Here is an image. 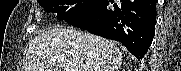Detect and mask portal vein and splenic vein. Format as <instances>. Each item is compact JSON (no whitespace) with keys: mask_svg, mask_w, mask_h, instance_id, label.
Masks as SVG:
<instances>
[{"mask_svg":"<svg viewBox=\"0 0 181 71\" xmlns=\"http://www.w3.org/2000/svg\"><path fill=\"white\" fill-rule=\"evenodd\" d=\"M66 71H73L72 68H66Z\"/></svg>","mask_w":181,"mask_h":71,"instance_id":"18ae733b","label":"portal vein and splenic vein"}]
</instances>
